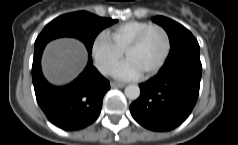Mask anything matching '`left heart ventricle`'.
Returning a JSON list of instances; mask_svg holds the SVG:
<instances>
[{
	"label": "left heart ventricle",
	"instance_id": "obj_1",
	"mask_svg": "<svg viewBox=\"0 0 238 145\" xmlns=\"http://www.w3.org/2000/svg\"><path fill=\"white\" fill-rule=\"evenodd\" d=\"M165 47L163 33L152 29L143 39L142 43L129 52L126 60L132 62L141 74L153 68L161 58Z\"/></svg>",
	"mask_w": 238,
	"mask_h": 145
}]
</instances>
